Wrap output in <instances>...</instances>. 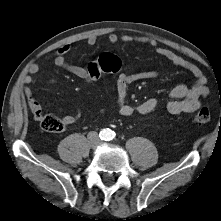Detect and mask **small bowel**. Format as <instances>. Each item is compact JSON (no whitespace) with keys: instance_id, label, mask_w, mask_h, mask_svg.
<instances>
[{"instance_id":"1","label":"small bowel","mask_w":221,"mask_h":221,"mask_svg":"<svg viewBox=\"0 0 221 221\" xmlns=\"http://www.w3.org/2000/svg\"><path fill=\"white\" fill-rule=\"evenodd\" d=\"M107 39L110 44L114 45L119 41L120 38L117 34L110 33ZM122 40L125 42L136 41L143 45L149 46L158 55L167 59L176 67L187 70L194 76L195 83L192 86L179 84L171 90V100L167 104V109L170 113H191L199 109L201 105L200 99L206 96L208 93V88L206 85L207 79L199 67L187 61L185 58L175 53L174 51H171L167 48L158 45L157 42L152 38L146 36H139L135 38L131 36H123ZM96 42L97 38L95 36H91L87 39V44L90 46L95 45ZM71 48V44L68 43L59 47L54 58V64L57 67L81 79L88 80V66H81L67 60L66 55L70 52ZM28 71L30 75H27L25 77L24 82L28 85L36 83V80L33 78L32 75L37 74L39 72V66L37 64H30L28 66ZM158 76L159 73L155 71L140 72L134 74H119L116 82V94L117 103L119 106V113L122 116L130 117L134 114L144 115L154 111L157 108L158 100L155 98H149L137 105H131L127 102V95L128 87L131 83L141 79H154ZM47 82L49 84H53L55 83V80L50 79ZM24 94L26 96L29 109L31 110L35 118L39 120V116L42 114V110L40 104L34 97L33 91L29 87H26L24 89ZM62 120L64 121L66 126L72 125L75 121L74 117L71 115L63 116Z\"/></svg>"}]
</instances>
